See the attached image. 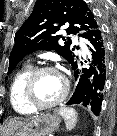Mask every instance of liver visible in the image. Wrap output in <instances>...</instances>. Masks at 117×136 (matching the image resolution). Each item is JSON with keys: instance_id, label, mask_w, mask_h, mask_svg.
Masks as SVG:
<instances>
[{"instance_id": "liver-1", "label": "liver", "mask_w": 117, "mask_h": 136, "mask_svg": "<svg viewBox=\"0 0 117 136\" xmlns=\"http://www.w3.org/2000/svg\"><path fill=\"white\" fill-rule=\"evenodd\" d=\"M25 123H26L25 120L23 121L22 119L19 118L10 119L4 125L3 135L11 136L17 129L22 127Z\"/></svg>"}]
</instances>
